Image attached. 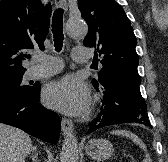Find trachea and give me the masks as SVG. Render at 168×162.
<instances>
[{"instance_id":"trachea-1","label":"trachea","mask_w":168,"mask_h":162,"mask_svg":"<svg viewBox=\"0 0 168 162\" xmlns=\"http://www.w3.org/2000/svg\"><path fill=\"white\" fill-rule=\"evenodd\" d=\"M52 33L54 38V46L57 52H60L63 45V9H57L52 18Z\"/></svg>"}]
</instances>
